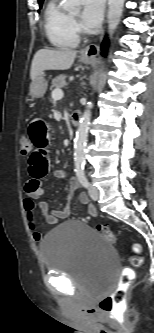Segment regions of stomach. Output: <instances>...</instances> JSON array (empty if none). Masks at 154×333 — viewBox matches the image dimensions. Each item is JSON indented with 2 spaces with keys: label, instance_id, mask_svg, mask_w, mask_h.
Returning a JSON list of instances; mask_svg holds the SVG:
<instances>
[{
  "label": "stomach",
  "instance_id": "0dacf381",
  "mask_svg": "<svg viewBox=\"0 0 154 333\" xmlns=\"http://www.w3.org/2000/svg\"><path fill=\"white\" fill-rule=\"evenodd\" d=\"M92 59L93 58L89 56H80V60L86 64L90 63ZM44 76L42 72L31 82L29 95L32 99H39L45 94L48 83Z\"/></svg>",
  "mask_w": 154,
  "mask_h": 333
}]
</instances>
